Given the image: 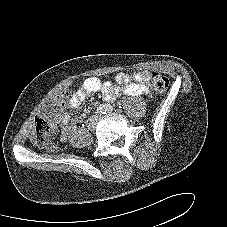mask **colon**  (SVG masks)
<instances>
[{
  "instance_id": "5ec220e1",
  "label": "colon",
  "mask_w": 227,
  "mask_h": 227,
  "mask_svg": "<svg viewBox=\"0 0 227 227\" xmlns=\"http://www.w3.org/2000/svg\"><path fill=\"white\" fill-rule=\"evenodd\" d=\"M151 85L155 92L164 93L168 89L169 79L161 73H154L151 76ZM65 99L66 94H60L50 97L41 103V114L35 117L33 130L30 134V138L36 146L49 150L55 149V144L52 140L53 127L48 118L61 108Z\"/></svg>"
}]
</instances>
